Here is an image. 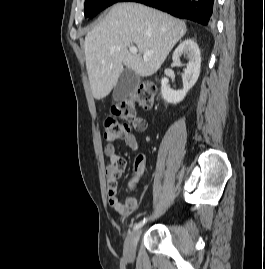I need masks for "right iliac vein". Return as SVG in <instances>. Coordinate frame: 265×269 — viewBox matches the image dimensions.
<instances>
[{
  "instance_id": "obj_1",
  "label": "right iliac vein",
  "mask_w": 265,
  "mask_h": 269,
  "mask_svg": "<svg viewBox=\"0 0 265 269\" xmlns=\"http://www.w3.org/2000/svg\"><path fill=\"white\" fill-rule=\"evenodd\" d=\"M141 232V229H137L132 232L126 239L124 246V256L129 260H132L135 257L136 245L140 238Z\"/></svg>"
}]
</instances>
